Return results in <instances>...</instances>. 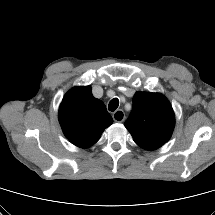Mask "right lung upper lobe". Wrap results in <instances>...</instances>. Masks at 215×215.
<instances>
[{"instance_id": "1", "label": "right lung upper lobe", "mask_w": 215, "mask_h": 215, "mask_svg": "<svg viewBox=\"0 0 215 215\" xmlns=\"http://www.w3.org/2000/svg\"><path fill=\"white\" fill-rule=\"evenodd\" d=\"M59 122L67 139L77 147L95 144L113 119L104 103L92 95L90 86H77L64 96Z\"/></svg>"}]
</instances>
